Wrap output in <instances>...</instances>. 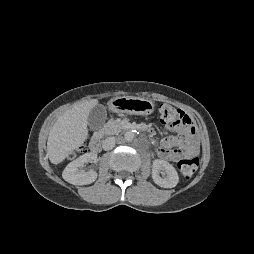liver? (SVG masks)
<instances>
[{
	"mask_svg": "<svg viewBox=\"0 0 254 254\" xmlns=\"http://www.w3.org/2000/svg\"><path fill=\"white\" fill-rule=\"evenodd\" d=\"M97 105V99L86 101L67 110L57 119L47 141V154L51 163H61L84 143L88 136V115Z\"/></svg>",
	"mask_w": 254,
	"mask_h": 254,
	"instance_id": "obj_1",
	"label": "liver"
}]
</instances>
